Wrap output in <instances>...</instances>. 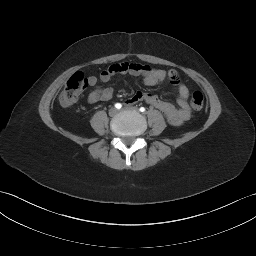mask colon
Returning <instances> with one entry per match:
<instances>
[{
	"label": "colon",
	"mask_w": 256,
	"mask_h": 256,
	"mask_svg": "<svg viewBox=\"0 0 256 256\" xmlns=\"http://www.w3.org/2000/svg\"><path fill=\"white\" fill-rule=\"evenodd\" d=\"M88 80L81 72L74 73L66 82L60 94L59 101L63 106L73 105L87 87ZM205 102L204 95L200 91H195L191 96V106L195 110L203 108Z\"/></svg>",
	"instance_id": "1"
}]
</instances>
